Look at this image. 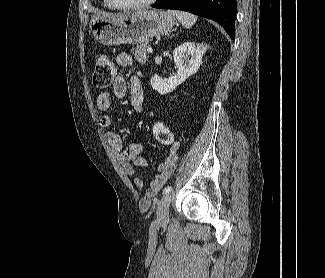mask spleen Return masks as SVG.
<instances>
[{"mask_svg":"<svg viewBox=\"0 0 325 278\" xmlns=\"http://www.w3.org/2000/svg\"><path fill=\"white\" fill-rule=\"evenodd\" d=\"M168 13L177 18L184 28H191L197 21V16L178 10H168Z\"/></svg>","mask_w":325,"mask_h":278,"instance_id":"spleen-1","label":"spleen"}]
</instances>
